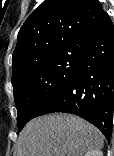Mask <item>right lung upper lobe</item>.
Returning a JSON list of instances; mask_svg holds the SVG:
<instances>
[{"instance_id":"obj_1","label":"right lung upper lobe","mask_w":114,"mask_h":156,"mask_svg":"<svg viewBox=\"0 0 114 156\" xmlns=\"http://www.w3.org/2000/svg\"><path fill=\"white\" fill-rule=\"evenodd\" d=\"M106 16L98 0H45L18 33L12 80L37 62L79 45Z\"/></svg>"}]
</instances>
